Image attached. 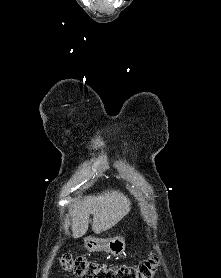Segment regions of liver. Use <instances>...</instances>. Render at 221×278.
I'll use <instances>...</instances> for the list:
<instances>
[{"label": "liver", "mask_w": 221, "mask_h": 278, "mask_svg": "<svg viewBox=\"0 0 221 278\" xmlns=\"http://www.w3.org/2000/svg\"><path fill=\"white\" fill-rule=\"evenodd\" d=\"M131 209L129 199L119 191H106L97 196H87L84 202H77L70 210L73 237L86 234L89 215H93L92 229L99 234L115 226Z\"/></svg>", "instance_id": "1"}]
</instances>
